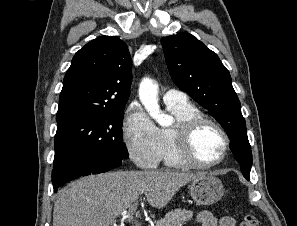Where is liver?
<instances>
[{
	"mask_svg": "<svg viewBox=\"0 0 297 226\" xmlns=\"http://www.w3.org/2000/svg\"><path fill=\"white\" fill-rule=\"evenodd\" d=\"M204 173L116 171L80 178L60 191L53 226H111L144 194L150 206L162 208L180 187Z\"/></svg>",
	"mask_w": 297,
	"mask_h": 226,
	"instance_id": "1",
	"label": "liver"
}]
</instances>
